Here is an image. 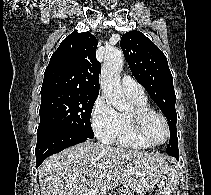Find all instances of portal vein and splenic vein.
<instances>
[{"instance_id": "18ae733b", "label": "portal vein and splenic vein", "mask_w": 211, "mask_h": 195, "mask_svg": "<svg viewBox=\"0 0 211 195\" xmlns=\"http://www.w3.org/2000/svg\"><path fill=\"white\" fill-rule=\"evenodd\" d=\"M102 191H92L89 193V195H100Z\"/></svg>"}]
</instances>
